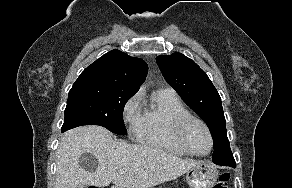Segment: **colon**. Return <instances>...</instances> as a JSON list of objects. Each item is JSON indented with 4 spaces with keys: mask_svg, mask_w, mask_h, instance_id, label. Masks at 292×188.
Listing matches in <instances>:
<instances>
[{
    "mask_svg": "<svg viewBox=\"0 0 292 188\" xmlns=\"http://www.w3.org/2000/svg\"><path fill=\"white\" fill-rule=\"evenodd\" d=\"M230 179V174L228 172L223 173L213 188H228V183ZM88 188H98L94 186H90Z\"/></svg>",
    "mask_w": 292,
    "mask_h": 188,
    "instance_id": "obj_1",
    "label": "colon"
}]
</instances>
